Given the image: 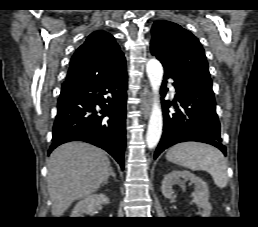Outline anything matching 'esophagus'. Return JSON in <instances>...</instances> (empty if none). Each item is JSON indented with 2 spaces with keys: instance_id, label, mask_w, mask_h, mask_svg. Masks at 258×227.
<instances>
[{
  "instance_id": "1",
  "label": "esophagus",
  "mask_w": 258,
  "mask_h": 227,
  "mask_svg": "<svg viewBox=\"0 0 258 227\" xmlns=\"http://www.w3.org/2000/svg\"><path fill=\"white\" fill-rule=\"evenodd\" d=\"M141 97H142L141 110L143 112L144 118L147 119L151 111V93L148 87H145L143 89Z\"/></svg>"
}]
</instances>
